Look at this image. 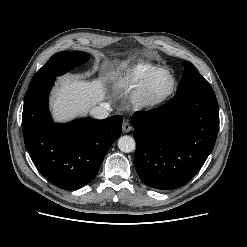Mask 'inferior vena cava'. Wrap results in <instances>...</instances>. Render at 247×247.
I'll return each mask as SVG.
<instances>
[{
  "mask_svg": "<svg viewBox=\"0 0 247 247\" xmlns=\"http://www.w3.org/2000/svg\"><path fill=\"white\" fill-rule=\"evenodd\" d=\"M109 109L110 106L108 103H100L99 106L93 107L90 113L96 119H104L109 116Z\"/></svg>",
  "mask_w": 247,
  "mask_h": 247,
  "instance_id": "602c4592",
  "label": "inferior vena cava"
}]
</instances>
